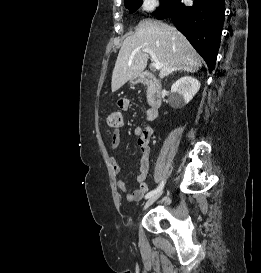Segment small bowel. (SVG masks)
Returning <instances> with one entry per match:
<instances>
[{
    "label": "small bowel",
    "mask_w": 261,
    "mask_h": 273,
    "mask_svg": "<svg viewBox=\"0 0 261 273\" xmlns=\"http://www.w3.org/2000/svg\"><path fill=\"white\" fill-rule=\"evenodd\" d=\"M130 105L129 99H121L118 101V108L122 111L128 109ZM147 117L149 120H153L156 117V112H152L148 110ZM135 135L137 136V143L141 151V157L139 160V172L137 175V181L139 182V188L132 193L128 192L127 185L123 179L117 180V187L120 191L125 193L126 199L129 202H137L143 198L145 193L149 190V186L146 183V179L149 173V166H150V146L149 141L153 135V128L146 127V128H136ZM121 143V132L120 128L115 129L111 136V146L113 149H117ZM111 165L114 174L118 175L121 173V165L118 162L116 157L111 158Z\"/></svg>",
    "instance_id": "c3829d8e"
}]
</instances>
